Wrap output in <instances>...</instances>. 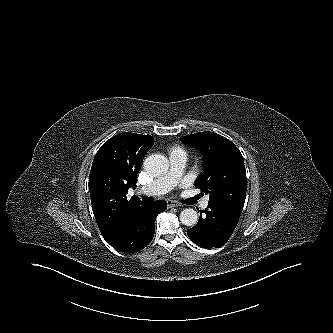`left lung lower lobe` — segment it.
I'll list each match as a JSON object with an SVG mask.
<instances>
[{
	"label": "left lung lower lobe",
	"instance_id": "obj_1",
	"mask_svg": "<svg viewBox=\"0 0 333 333\" xmlns=\"http://www.w3.org/2000/svg\"><path fill=\"white\" fill-rule=\"evenodd\" d=\"M202 212L205 217H202ZM198 223L187 230L189 238L203 248L220 247L232 235L240 215L215 203L208 202V207L200 211Z\"/></svg>",
	"mask_w": 333,
	"mask_h": 333
}]
</instances>
